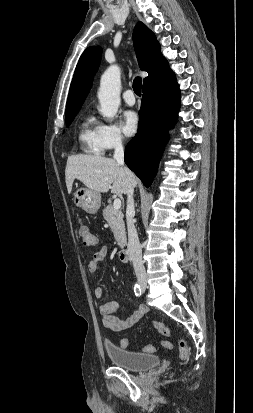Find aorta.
Listing matches in <instances>:
<instances>
[{"label": "aorta", "instance_id": "obj_1", "mask_svg": "<svg viewBox=\"0 0 253 413\" xmlns=\"http://www.w3.org/2000/svg\"><path fill=\"white\" fill-rule=\"evenodd\" d=\"M120 90V69L117 65H111L103 73L98 91L100 112L104 117L113 119L117 114L120 105Z\"/></svg>", "mask_w": 253, "mask_h": 413}]
</instances>
